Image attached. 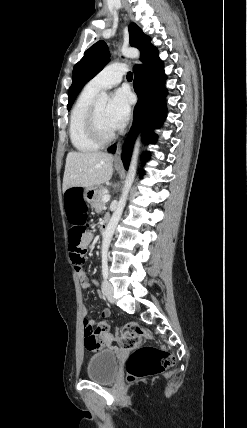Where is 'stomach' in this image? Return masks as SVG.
I'll list each match as a JSON object with an SVG mask.
<instances>
[{"mask_svg": "<svg viewBox=\"0 0 247 428\" xmlns=\"http://www.w3.org/2000/svg\"><path fill=\"white\" fill-rule=\"evenodd\" d=\"M117 170L120 171V168H117ZM97 192H98V189L96 186L86 188L83 192L84 200L90 204H93L96 199Z\"/></svg>", "mask_w": 247, "mask_h": 428, "instance_id": "stomach-1", "label": "stomach"}]
</instances>
